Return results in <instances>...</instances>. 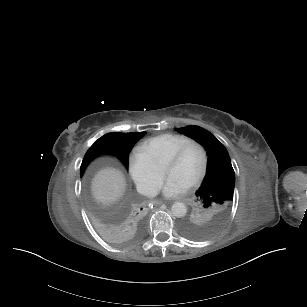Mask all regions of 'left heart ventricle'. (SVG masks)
I'll list each match as a JSON object with an SVG mask.
<instances>
[{
	"label": "left heart ventricle",
	"instance_id": "left-heart-ventricle-1",
	"mask_svg": "<svg viewBox=\"0 0 307 307\" xmlns=\"http://www.w3.org/2000/svg\"><path fill=\"white\" fill-rule=\"evenodd\" d=\"M203 162V151L198 144H194L188 148L179 161L170 163L163 169L166 175H173L189 184L200 173Z\"/></svg>",
	"mask_w": 307,
	"mask_h": 307
}]
</instances>
